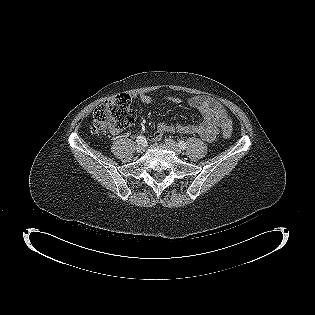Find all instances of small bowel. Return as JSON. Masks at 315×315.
<instances>
[{"label": "small bowel", "instance_id": "c3829d8e", "mask_svg": "<svg viewBox=\"0 0 315 315\" xmlns=\"http://www.w3.org/2000/svg\"><path fill=\"white\" fill-rule=\"evenodd\" d=\"M139 99L144 105L152 103V98L148 94H141ZM167 99L173 104L181 103V99L176 96H169ZM187 103L190 107L200 111L202 115L200 123L170 125L166 122H159L157 131L150 136L151 141H159L166 132L196 134L206 141H212L220 129L229 128L231 130V120L226 110L216 100L208 96L198 95L188 99ZM113 131L117 132L116 130Z\"/></svg>", "mask_w": 315, "mask_h": 315}]
</instances>
